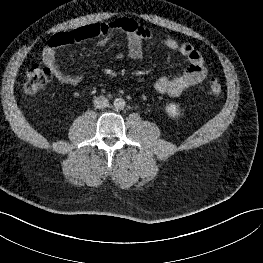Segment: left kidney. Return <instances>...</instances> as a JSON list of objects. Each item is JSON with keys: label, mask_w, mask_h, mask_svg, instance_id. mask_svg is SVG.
<instances>
[{"label": "left kidney", "mask_w": 263, "mask_h": 263, "mask_svg": "<svg viewBox=\"0 0 263 263\" xmlns=\"http://www.w3.org/2000/svg\"><path fill=\"white\" fill-rule=\"evenodd\" d=\"M166 112L171 117H177L180 114L179 108L174 104H169L166 106Z\"/></svg>", "instance_id": "1"}]
</instances>
